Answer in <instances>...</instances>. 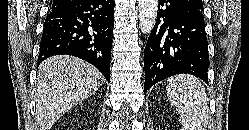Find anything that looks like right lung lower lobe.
<instances>
[{
    "label": "right lung lower lobe",
    "mask_w": 249,
    "mask_h": 130,
    "mask_svg": "<svg viewBox=\"0 0 249 130\" xmlns=\"http://www.w3.org/2000/svg\"><path fill=\"white\" fill-rule=\"evenodd\" d=\"M114 0H74L45 20L39 65L54 55H72L94 65L109 81Z\"/></svg>",
    "instance_id": "obj_1"
}]
</instances>
